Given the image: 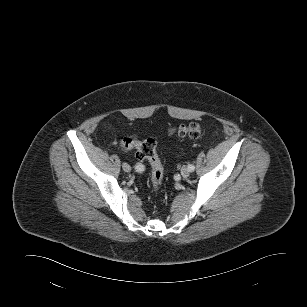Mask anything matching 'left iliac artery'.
I'll return each instance as SVG.
<instances>
[{"label":"left iliac artery","instance_id":"obj_1","mask_svg":"<svg viewBox=\"0 0 307 307\" xmlns=\"http://www.w3.org/2000/svg\"><path fill=\"white\" fill-rule=\"evenodd\" d=\"M188 169L190 170V172H193L195 170V166L192 164H189Z\"/></svg>","mask_w":307,"mask_h":307}]
</instances>
